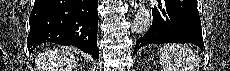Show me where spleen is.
<instances>
[{"label": "spleen", "instance_id": "spleen-1", "mask_svg": "<svg viewBox=\"0 0 230 71\" xmlns=\"http://www.w3.org/2000/svg\"><path fill=\"white\" fill-rule=\"evenodd\" d=\"M160 64L164 71H199V64L193 51L182 44L162 46Z\"/></svg>", "mask_w": 230, "mask_h": 71}]
</instances>
